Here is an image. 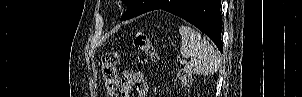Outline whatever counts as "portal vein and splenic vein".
Returning a JSON list of instances; mask_svg holds the SVG:
<instances>
[{
    "label": "portal vein and splenic vein",
    "mask_w": 302,
    "mask_h": 97,
    "mask_svg": "<svg viewBox=\"0 0 302 97\" xmlns=\"http://www.w3.org/2000/svg\"><path fill=\"white\" fill-rule=\"evenodd\" d=\"M179 62H180L181 64H185V63H186L185 60H179Z\"/></svg>",
    "instance_id": "1"
}]
</instances>
